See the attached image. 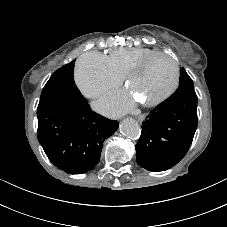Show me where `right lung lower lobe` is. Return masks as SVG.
<instances>
[{
  "mask_svg": "<svg viewBox=\"0 0 227 227\" xmlns=\"http://www.w3.org/2000/svg\"><path fill=\"white\" fill-rule=\"evenodd\" d=\"M37 117L39 143L49 160L68 174L92 170L99 163L103 142L119 125L91 111L83 96L42 99Z\"/></svg>",
  "mask_w": 227,
  "mask_h": 227,
  "instance_id": "1",
  "label": "right lung lower lobe"
}]
</instances>
